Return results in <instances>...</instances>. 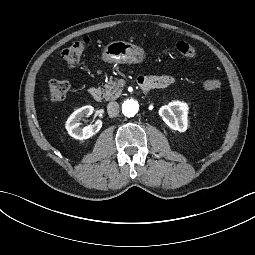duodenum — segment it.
I'll return each instance as SVG.
<instances>
[{
	"mask_svg": "<svg viewBox=\"0 0 255 255\" xmlns=\"http://www.w3.org/2000/svg\"><path fill=\"white\" fill-rule=\"evenodd\" d=\"M138 85L143 92H149L153 87V83L145 78H139ZM88 93L96 101H100L102 98V92L98 87L89 88Z\"/></svg>",
	"mask_w": 255,
	"mask_h": 255,
	"instance_id": "410a0bca",
	"label": "duodenum"
}]
</instances>
